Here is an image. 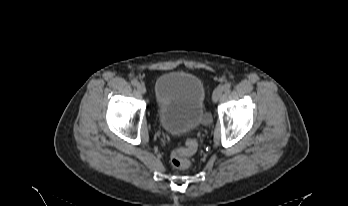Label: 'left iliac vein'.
Segmentation results:
<instances>
[{"label": "left iliac vein", "instance_id": "left-iliac-vein-1", "mask_svg": "<svg viewBox=\"0 0 348 206\" xmlns=\"http://www.w3.org/2000/svg\"><path fill=\"white\" fill-rule=\"evenodd\" d=\"M222 94H223V87L218 86L213 92V96H212L213 102L214 103L218 102V100L221 98Z\"/></svg>", "mask_w": 348, "mask_h": 206}]
</instances>
